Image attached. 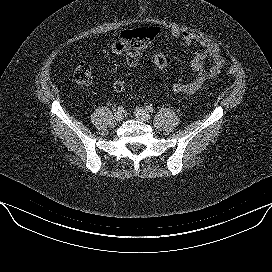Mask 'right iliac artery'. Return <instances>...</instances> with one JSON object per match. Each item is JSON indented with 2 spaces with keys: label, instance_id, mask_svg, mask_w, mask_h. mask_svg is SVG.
<instances>
[{
  "label": "right iliac artery",
  "instance_id": "obj_1",
  "mask_svg": "<svg viewBox=\"0 0 272 272\" xmlns=\"http://www.w3.org/2000/svg\"><path fill=\"white\" fill-rule=\"evenodd\" d=\"M118 111L123 112V111H124L123 107H122V106H119V107H118Z\"/></svg>",
  "mask_w": 272,
  "mask_h": 272
}]
</instances>
